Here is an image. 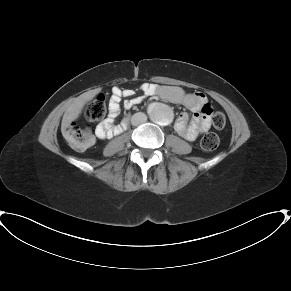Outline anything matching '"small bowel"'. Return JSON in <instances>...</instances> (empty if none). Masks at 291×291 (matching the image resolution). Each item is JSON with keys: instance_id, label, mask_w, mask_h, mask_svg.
Masks as SVG:
<instances>
[{"instance_id": "c3829d8e", "label": "small bowel", "mask_w": 291, "mask_h": 291, "mask_svg": "<svg viewBox=\"0 0 291 291\" xmlns=\"http://www.w3.org/2000/svg\"><path fill=\"white\" fill-rule=\"evenodd\" d=\"M141 91L148 96H158L168 102L183 105L193 113V118L189 121L187 113H181L174 122L175 131L186 140H196L200 135L206 133L211 127V119L206 113L209 107L206 96L201 92H185L179 86L155 85L144 83ZM122 98H129L125 106L130 108L141 102L140 97H134L131 89H121L113 87L109 100L108 117L103 122L95 126V133L98 138L104 139L122 133L127 121L123 120L120 124H114L116 117L120 113V101Z\"/></svg>"}]
</instances>
